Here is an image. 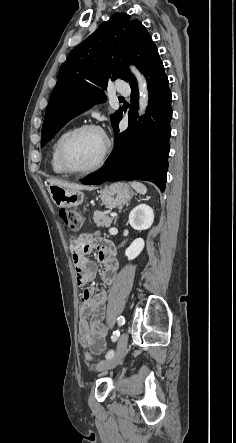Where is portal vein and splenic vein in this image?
<instances>
[{
  "mask_svg": "<svg viewBox=\"0 0 236 443\" xmlns=\"http://www.w3.org/2000/svg\"><path fill=\"white\" fill-rule=\"evenodd\" d=\"M110 216H111V217H116V216H117V213H115V212L110 213Z\"/></svg>",
  "mask_w": 236,
  "mask_h": 443,
  "instance_id": "obj_1",
  "label": "portal vein and splenic vein"
}]
</instances>
